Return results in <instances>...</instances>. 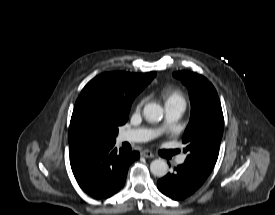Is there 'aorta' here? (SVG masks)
<instances>
[{"mask_svg": "<svg viewBox=\"0 0 275 215\" xmlns=\"http://www.w3.org/2000/svg\"><path fill=\"white\" fill-rule=\"evenodd\" d=\"M144 117L149 122H158L163 117V108L156 103H149L143 109ZM150 171L154 176L163 177L168 172V164L163 159L153 160Z\"/></svg>", "mask_w": 275, "mask_h": 215, "instance_id": "obj_1", "label": "aorta"}]
</instances>
